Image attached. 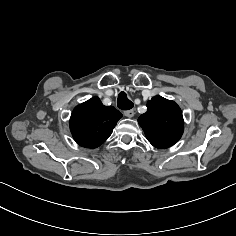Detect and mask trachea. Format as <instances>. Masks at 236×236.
Wrapping results in <instances>:
<instances>
[{"instance_id": "trachea-1", "label": "trachea", "mask_w": 236, "mask_h": 236, "mask_svg": "<svg viewBox=\"0 0 236 236\" xmlns=\"http://www.w3.org/2000/svg\"><path fill=\"white\" fill-rule=\"evenodd\" d=\"M117 106L122 110L133 108L134 104L130 101L125 92H120L117 99Z\"/></svg>"}]
</instances>
